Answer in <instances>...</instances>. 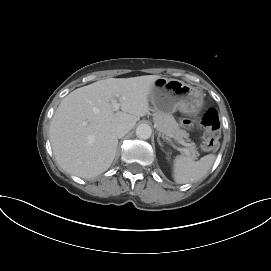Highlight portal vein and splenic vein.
<instances>
[{"instance_id": "obj_1", "label": "portal vein and splenic vein", "mask_w": 271, "mask_h": 271, "mask_svg": "<svg viewBox=\"0 0 271 271\" xmlns=\"http://www.w3.org/2000/svg\"><path fill=\"white\" fill-rule=\"evenodd\" d=\"M112 104H113V108H114V110L115 111H118L119 110V107H120V105H119V103L117 102V101H113L112 102ZM181 151H183V152H185L186 154H189V151L187 150V149H181Z\"/></svg>"}]
</instances>
